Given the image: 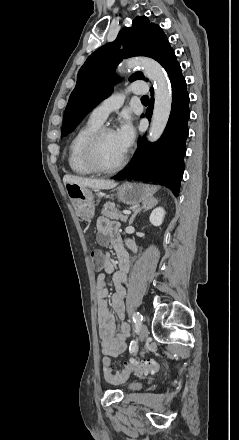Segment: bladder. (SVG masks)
Masks as SVG:
<instances>
[{
  "mask_svg": "<svg viewBox=\"0 0 239 440\" xmlns=\"http://www.w3.org/2000/svg\"><path fill=\"white\" fill-rule=\"evenodd\" d=\"M143 386L144 384L141 381H131L127 384L126 388L129 391H139Z\"/></svg>",
  "mask_w": 239,
  "mask_h": 440,
  "instance_id": "bladder-1",
  "label": "bladder"
}]
</instances>
